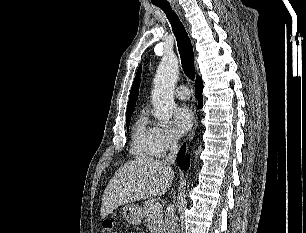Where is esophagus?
I'll list each match as a JSON object with an SVG mask.
<instances>
[{"mask_svg":"<svg viewBox=\"0 0 306 233\" xmlns=\"http://www.w3.org/2000/svg\"><path fill=\"white\" fill-rule=\"evenodd\" d=\"M197 127H198V117L196 118L194 126H193V128H192V130H191V132L189 134L187 143H190L192 141V139L194 138Z\"/></svg>","mask_w":306,"mask_h":233,"instance_id":"34e87169","label":"esophagus"}]
</instances>
